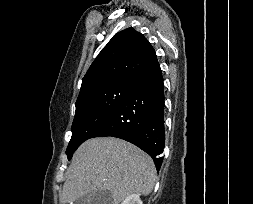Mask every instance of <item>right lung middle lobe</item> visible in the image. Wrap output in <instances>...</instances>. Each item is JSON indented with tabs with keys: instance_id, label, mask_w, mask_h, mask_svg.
Segmentation results:
<instances>
[{
	"instance_id": "1",
	"label": "right lung middle lobe",
	"mask_w": 253,
	"mask_h": 204,
	"mask_svg": "<svg viewBox=\"0 0 253 204\" xmlns=\"http://www.w3.org/2000/svg\"><path fill=\"white\" fill-rule=\"evenodd\" d=\"M133 85L134 82H116L93 89L77 99L72 137L66 150L68 160L84 141L93 138Z\"/></svg>"
}]
</instances>
